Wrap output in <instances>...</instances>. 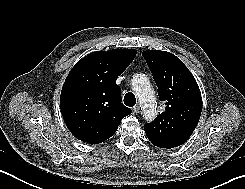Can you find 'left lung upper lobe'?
Returning <instances> with one entry per match:
<instances>
[{"label": "left lung upper lobe", "mask_w": 245, "mask_h": 189, "mask_svg": "<svg viewBox=\"0 0 245 189\" xmlns=\"http://www.w3.org/2000/svg\"><path fill=\"white\" fill-rule=\"evenodd\" d=\"M158 86L165 111L151 123L145 133L151 143L174 148L189 139L201 115L202 99L194 76L175 55L158 50L142 52Z\"/></svg>", "instance_id": "obj_1"}]
</instances>
